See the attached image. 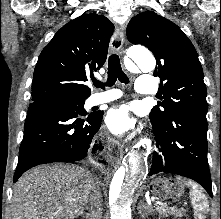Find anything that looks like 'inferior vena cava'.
Instances as JSON below:
<instances>
[{
	"label": "inferior vena cava",
	"mask_w": 221,
	"mask_h": 219,
	"mask_svg": "<svg viewBox=\"0 0 221 219\" xmlns=\"http://www.w3.org/2000/svg\"><path fill=\"white\" fill-rule=\"evenodd\" d=\"M101 188V181L95 180L94 181V187H93V193L91 194L89 198V219H101L102 217V195L99 191Z\"/></svg>",
	"instance_id": "602c4592"
}]
</instances>
